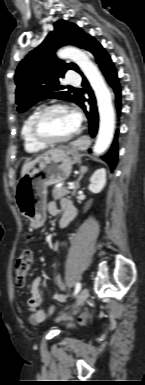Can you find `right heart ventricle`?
Returning a JSON list of instances; mask_svg holds the SVG:
<instances>
[{
  "label": "right heart ventricle",
  "mask_w": 145,
  "mask_h": 385,
  "mask_svg": "<svg viewBox=\"0 0 145 385\" xmlns=\"http://www.w3.org/2000/svg\"><path fill=\"white\" fill-rule=\"evenodd\" d=\"M39 109L33 110L23 121L22 126H21V139L23 141V146L26 152L28 153H38L42 151L45 146H42L38 144L36 141L31 136V124L38 113Z\"/></svg>",
  "instance_id": "right-heart-ventricle-1"
}]
</instances>
